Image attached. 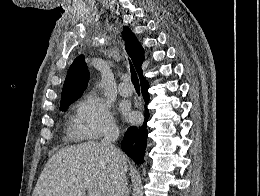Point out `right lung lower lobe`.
<instances>
[{
    "instance_id": "1",
    "label": "right lung lower lobe",
    "mask_w": 260,
    "mask_h": 196,
    "mask_svg": "<svg viewBox=\"0 0 260 196\" xmlns=\"http://www.w3.org/2000/svg\"><path fill=\"white\" fill-rule=\"evenodd\" d=\"M148 88L149 83L146 81V79H141V91L146 104L149 101ZM144 116L145 120L143 125L140 127L131 126L126 131L124 139L121 143L122 150L138 164L143 163L144 153L147 145L148 130L146 123L150 116L147 109Z\"/></svg>"
}]
</instances>
